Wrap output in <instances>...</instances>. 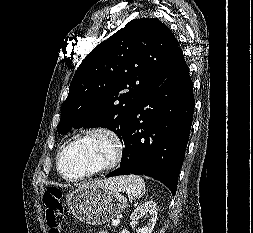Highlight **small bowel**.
Wrapping results in <instances>:
<instances>
[{"instance_id":"c3829d8e","label":"small bowel","mask_w":253,"mask_h":233,"mask_svg":"<svg viewBox=\"0 0 253 233\" xmlns=\"http://www.w3.org/2000/svg\"><path fill=\"white\" fill-rule=\"evenodd\" d=\"M100 233H107V232L102 231V232H100Z\"/></svg>"}]
</instances>
